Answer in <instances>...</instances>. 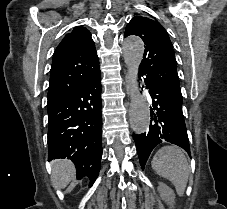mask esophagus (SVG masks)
Returning <instances> with one entry per match:
<instances>
[{
    "label": "esophagus",
    "mask_w": 227,
    "mask_h": 209,
    "mask_svg": "<svg viewBox=\"0 0 227 209\" xmlns=\"http://www.w3.org/2000/svg\"><path fill=\"white\" fill-rule=\"evenodd\" d=\"M125 81H126L127 94L131 95L132 79H131V75L129 74V72H126Z\"/></svg>",
    "instance_id": "esophagus-1"
}]
</instances>
